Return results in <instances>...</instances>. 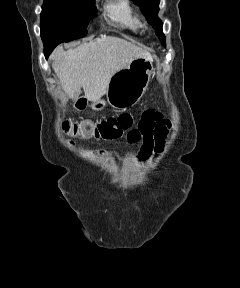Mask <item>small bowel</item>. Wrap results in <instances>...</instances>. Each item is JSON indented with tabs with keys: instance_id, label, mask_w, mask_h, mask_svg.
<instances>
[{
	"instance_id": "small-bowel-1",
	"label": "small bowel",
	"mask_w": 240,
	"mask_h": 288,
	"mask_svg": "<svg viewBox=\"0 0 240 288\" xmlns=\"http://www.w3.org/2000/svg\"><path fill=\"white\" fill-rule=\"evenodd\" d=\"M171 123L157 111L147 110L142 113L138 126L128 134V140L132 143L141 142V154L146 157L154 149L160 152Z\"/></svg>"
}]
</instances>
